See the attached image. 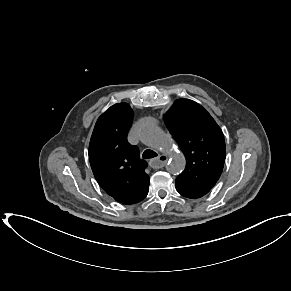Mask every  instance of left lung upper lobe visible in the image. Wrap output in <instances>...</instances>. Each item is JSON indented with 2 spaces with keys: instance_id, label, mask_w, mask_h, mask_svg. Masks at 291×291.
Wrapping results in <instances>:
<instances>
[{
  "instance_id": "left-lung-upper-lobe-1",
  "label": "left lung upper lobe",
  "mask_w": 291,
  "mask_h": 291,
  "mask_svg": "<svg viewBox=\"0 0 291 291\" xmlns=\"http://www.w3.org/2000/svg\"><path fill=\"white\" fill-rule=\"evenodd\" d=\"M164 121L186 157V168L175 180L176 190L184 197L200 198L222 173L226 157L223 132L206 109L189 99L176 100Z\"/></svg>"
}]
</instances>
